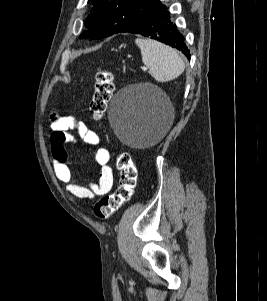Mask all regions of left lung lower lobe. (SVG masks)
<instances>
[{"instance_id":"0a47b994","label":"left lung lower lobe","mask_w":267,"mask_h":301,"mask_svg":"<svg viewBox=\"0 0 267 301\" xmlns=\"http://www.w3.org/2000/svg\"><path fill=\"white\" fill-rule=\"evenodd\" d=\"M120 32L140 34L158 40L182 51L190 59V53L183 35L170 20V14L166 6L161 3L139 21L124 27Z\"/></svg>"}]
</instances>
